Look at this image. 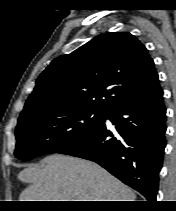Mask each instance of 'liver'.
I'll return each instance as SVG.
<instances>
[{"label": "liver", "mask_w": 176, "mask_h": 211, "mask_svg": "<svg viewBox=\"0 0 176 211\" xmlns=\"http://www.w3.org/2000/svg\"><path fill=\"white\" fill-rule=\"evenodd\" d=\"M19 201H135L134 192L98 164L61 154L23 169Z\"/></svg>", "instance_id": "liver-1"}]
</instances>
